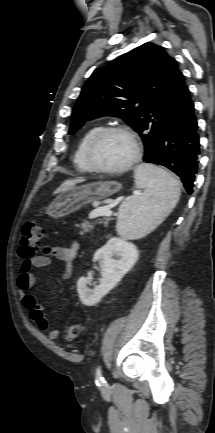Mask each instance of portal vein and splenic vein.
Masks as SVG:
<instances>
[{"instance_id":"1","label":"portal vein and splenic vein","mask_w":215,"mask_h":433,"mask_svg":"<svg viewBox=\"0 0 215 433\" xmlns=\"http://www.w3.org/2000/svg\"><path fill=\"white\" fill-rule=\"evenodd\" d=\"M138 191H135L134 194H138ZM112 215V212L110 210V208L108 206H103V207H98L95 210H93L90 214H89V218L93 219L99 216H106V217H110Z\"/></svg>"}]
</instances>
